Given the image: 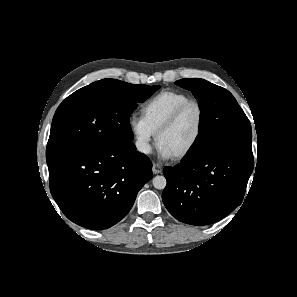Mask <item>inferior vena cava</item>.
<instances>
[{
	"label": "inferior vena cava",
	"instance_id": "inferior-vena-cava-1",
	"mask_svg": "<svg viewBox=\"0 0 297 297\" xmlns=\"http://www.w3.org/2000/svg\"><path fill=\"white\" fill-rule=\"evenodd\" d=\"M136 148L138 151L148 154L151 152V146L147 141L144 140H138L136 142Z\"/></svg>",
	"mask_w": 297,
	"mask_h": 297
}]
</instances>
